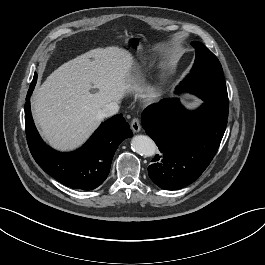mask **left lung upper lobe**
Wrapping results in <instances>:
<instances>
[{"label":"left lung upper lobe","mask_w":265,"mask_h":265,"mask_svg":"<svg viewBox=\"0 0 265 265\" xmlns=\"http://www.w3.org/2000/svg\"><path fill=\"white\" fill-rule=\"evenodd\" d=\"M196 59L191 74L177 91L189 90L205 102L228 113V94L221 64L217 57L202 43L192 42Z\"/></svg>","instance_id":"obj_1"}]
</instances>
